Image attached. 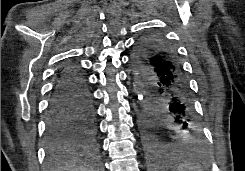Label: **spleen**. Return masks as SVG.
Wrapping results in <instances>:
<instances>
[{
	"label": "spleen",
	"mask_w": 245,
	"mask_h": 171,
	"mask_svg": "<svg viewBox=\"0 0 245 171\" xmlns=\"http://www.w3.org/2000/svg\"><path fill=\"white\" fill-rule=\"evenodd\" d=\"M176 171H204V168L192 161H184L177 167Z\"/></svg>",
	"instance_id": "obj_1"
}]
</instances>
